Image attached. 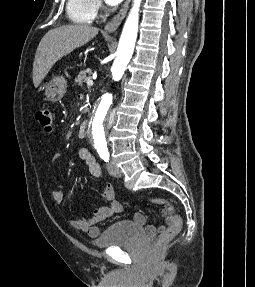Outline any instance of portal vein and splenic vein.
<instances>
[{
	"mask_svg": "<svg viewBox=\"0 0 255 287\" xmlns=\"http://www.w3.org/2000/svg\"><path fill=\"white\" fill-rule=\"evenodd\" d=\"M86 84L90 88V86H93V80H87Z\"/></svg>",
	"mask_w": 255,
	"mask_h": 287,
	"instance_id": "portal-vein-and-splenic-vein-1",
	"label": "portal vein and splenic vein"
}]
</instances>
